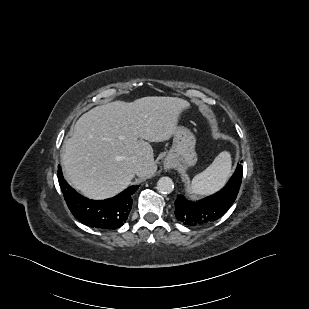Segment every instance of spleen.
Returning <instances> with one entry per match:
<instances>
[{"mask_svg": "<svg viewBox=\"0 0 309 309\" xmlns=\"http://www.w3.org/2000/svg\"><path fill=\"white\" fill-rule=\"evenodd\" d=\"M230 173L231 155L229 152L223 151L209 167L193 178L190 190L197 195L216 192L226 183Z\"/></svg>", "mask_w": 309, "mask_h": 309, "instance_id": "3e777b00", "label": "spleen"}]
</instances>
